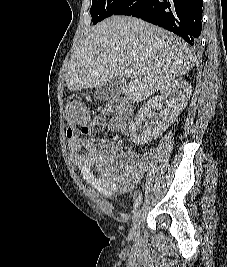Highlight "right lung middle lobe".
Instances as JSON below:
<instances>
[{"mask_svg":"<svg viewBox=\"0 0 227 267\" xmlns=\"http://www.w3.org/2000/svg\"><path fill=\"white\" fill-rule=\"evenodd\" d=\"M129 0H92L90 13L93 24L111 16L121 9Z\"/></svg>","mask_w":227,"mask_h":267,"instance_id":"dd1d6c3e","label":"right lung middle lobe"}]
</instances>
